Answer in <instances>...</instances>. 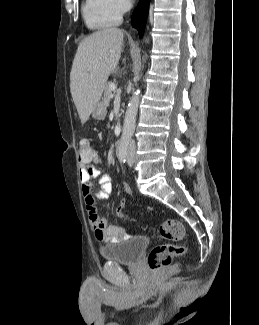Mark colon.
Returning a JSON list of instances; mask_svg holds the SVG:
<instances>
[{"label": "colon", "mask_w": 259, "mask_h": 325, "mask_svg": "<svg viewBox=\"0 0 259 325\" xmlns=\"http://www.w3.org/2000/svg\"><path fill=\"white\" fill-rule=\"evenodd\" d=\"M94 155V148L88 139H81L77 147V156L80 162L91 160ZM120 216H125V204L120 202L116 208ZM160 235L169 241L175 243L157 245L148 255V265L152 271H158L169 265L173 258L182 256L185 253V246L177 244L186 237V229L183 223L177 219H168L163 221L159 226Z\"/></svg>", "instance_id": "colon-1"}]
</instances>
